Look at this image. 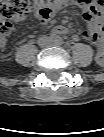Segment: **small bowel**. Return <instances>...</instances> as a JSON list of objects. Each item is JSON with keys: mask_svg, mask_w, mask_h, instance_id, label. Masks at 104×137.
Instances as JSON below:
<instances>
[{"mask_svg": "<svg viewBox=\"0 0 104 137\" xmlns=\"http://www.w3.org/2000/svg\"><path fill=\"white\" fill-rule=\"evenodd\" d=\"M94 1L95 0H77L76 3L82 9V18L87 23V29L81 33V37L92 42L97 47L96 59L101 62L103 58V40L101 36L103 31V16L101 8L97 6ZM53 32L63 35L69 33V29L59 25L53 29ZM77 38L78 36L76 39ZM6 44L7 35H1L0 45L5 47Z\"/></svg>", "mask_w": 104, "mask_h": 137, "instance_id": "small-bowel-1", "label": "small bowel"}]
</instances>
